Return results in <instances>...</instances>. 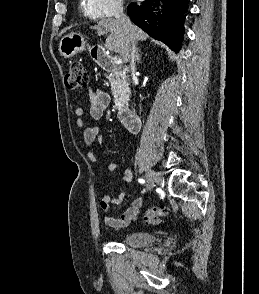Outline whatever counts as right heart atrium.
<instances>
[{
	"mask_svg": "<svg viewBox=\"0 0 259 294\" xmlns=\"http://www.w3.org/2000/svg\"><path fill=\"white\" fill-rule=\"evenodd\" d=\"M97 17L107 18L116 16L123 10V0H88Z\"/></svg>",
	"mask_w": 259,
	"mask_h": 294,
	"instance_id": "1",
	"label": "right heart atrium"
}]
</instances>
